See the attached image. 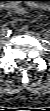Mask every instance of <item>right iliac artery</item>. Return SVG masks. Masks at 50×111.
<instances>
[{"label": "right iliac artery", "mask_w": 50, "mask_h": 111, "mask_svg": "<svg viewBox=\"0 0 50 111\" xmlns=\"http://www.w3.org/2000/svg\"><path fill=\"white\" fill-rule=\"evenodd\" d=\"M11 30L8 28L2 29V34L1 35H6V37L10 36Z\"/></svg>", "instance_id": "right-iliac-artery-1"}]
</instances>
